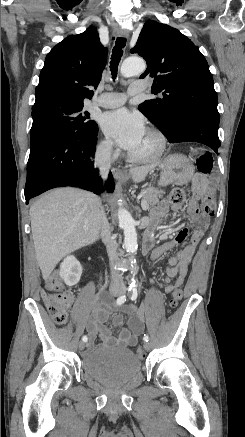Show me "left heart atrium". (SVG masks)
I'll list each match as a JSON object with an SVG mask.
<instances>
[{
  "mask_svg": "<svg viewBox=\"0 0 245 437\" xmlns=\"http://www.w3.org/2000/svg\"><path fill=\"white\" fill-rule=\"evenodd\" d=\"M100 126L108 137L131 154L146 134L143 118L127 109L105 113L100 120Z\"/></svg>",
  "mask_w": 245,
  "mask_h": 437,
  "instance_id": "1",
  "label": "left heart atrium"
}]
</instances>
